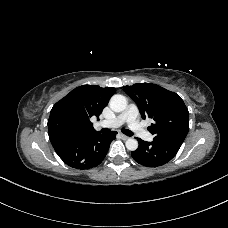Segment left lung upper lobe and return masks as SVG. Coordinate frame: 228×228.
<instances>
[{
    "label": "left lung upper lobe",
    "instance_id": "5c2ea615",
    "mask_svg": "<svg viewBox=\"0 0 228 228\" xmlns=\"http://www.w3.org/2000/svg\"><path fill=\"white\" fill-rule=\"evenodd\" d=\"M123 88L137 104L142 118L154 121L149 127L154 139L184 141L189 129L188 109L176 93L151 83Z\"/></svg>",
    "mask_w": 228,
    "mask_h": 228
}]
</instances>
